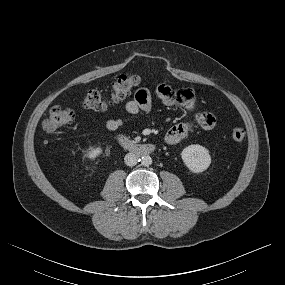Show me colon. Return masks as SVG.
<instances>
[{"label": "colon", "instance_id": "colon-1", "mask_svg": "<svg viewBox=\"0 0 285 285\" xmlns=\"http://www.w3.org/2000/svg\"><path fill=\"white\" fill-rule=\"evenodd\" d=\"M142 78L136 74H123L114 80L106 91L90 90L82 100L86 109L103 111L110 105L117 103L127 96L141 83ZM75 119V112L66 107L55 106L51 108L42 121L46 132H55L59 128L71 124ZM246 132L241 126L231 129L230 137L234 142L240 143L245 139Z\"/></svg>", "mask_w": 285, "mask_h": 285}]
</instances>
